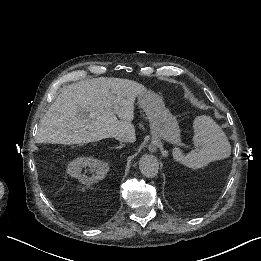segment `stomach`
I'll use <instances>...</instances> for the list:
<instances>
[{
  "mask_svg": "<svg viewBox=\"0 0 261 261\" xmlns=\"http://www.w3.org/2000/svg\"><path fill=\"white\" fill-rule=\"evenodd\" d=\"M138 103L150 123L153 139H164L176 144L180 139V129L175 116L165 107L162 98L152 92L145 91L138 95Z\"/></svg>",
  "mask_w": 261,
  "mask_h": 261,
  "instance_id": "0dacf381",
  "label": "stomach"
}]
</instances>
